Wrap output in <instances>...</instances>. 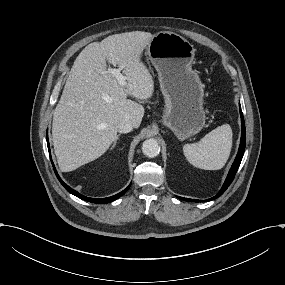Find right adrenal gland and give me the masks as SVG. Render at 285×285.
<instances>
[{"instance_id":"1","label":"right adrenal gland","mask_w":285,"mask_h":285,"mask_svg":"<svg viewBox=\"0 0 285 285\" xmlns=\"http://www.w3.org/2000/svg\"><path fill=\"white\" fill-rule=\"evenodd\" d=\"M120 136H121V134H118V135L116 136V139H115V141H114V143H113L111 149H113V148L116 146L117 140L119 139Z\"/></svg>"}]
</instances>
